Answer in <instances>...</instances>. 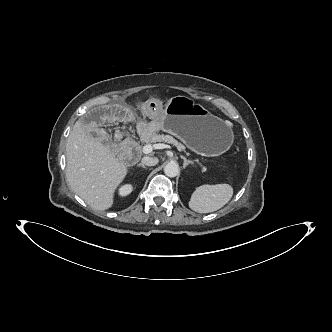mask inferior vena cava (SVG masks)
Returning a JSON list of instances; mask_svg holds the SVG:
<instances>
[{
	"label": "inferior vena cava",
	"mask_w": 332,
	"mask_h": 332,
	"mask_svg": "<svg viewBox=\"0 0 332 332\" xmlns=\"http://www.w3.org/2000/svg\"><path fill=\"white\" fill-rule=\"evenodd\" d=\"M141 163L146 166H155L158 163V158L145 156L142 158Z\"/></svg>",
	"instance_id": "obj_1"
}]
</instances>
